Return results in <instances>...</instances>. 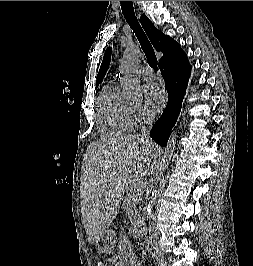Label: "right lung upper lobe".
Here are the masks:
<instances>
[{
    "label": "right lung upper lobe",
    "instance_id": "obj_1",
    "mask_svg": "<svg viewBox=\"0 0 253 266\" xmlns=\"http://www.w3.org/2000/svg\"><path fill=\"white\" fill-rule=\"evenodd\" d=\"M140 22L154 48L157 51L163 52V56L159 60V63L171 59L182 50L180 45L175 40L156 29L145 14L141 15ZM110 56L111 49L108 48L105 52L104 60L101 65L100 71L97 75L96 86L99 85L102 78L105 76V73L108 69V65L110 63Z\"/></svg>",
    "mask_w": 253,
    "mask_h": 266
}]
</instances>
